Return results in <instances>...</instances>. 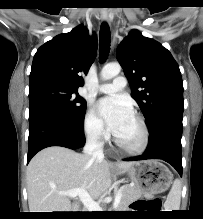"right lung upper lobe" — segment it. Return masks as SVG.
I'll return each instance as SVG.
<instances>
[{
    "label": "right lung upper lobe",
    "instance_id": "cb5924a9",
    "mask_svg": "<svg viewBox=\"0 0 203 219\" xmlns=\"http://www.w3.org/2000/svg\"><path fill=\"white\" fill-rule=\"evenodd\" d=\"M97 54L96 36L79 25L42 45L33 58L30 83L49 81L77 89L83 86Z\"/></svg>",
    "mask_w": 203,
    "mask_h": 219
}]
</instances>
